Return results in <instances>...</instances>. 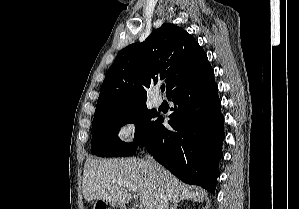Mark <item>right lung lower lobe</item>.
<instances>
[{
  "instance_id": "98d812e1",
  "label": "right lung lower lobe",
  "mask_w": 299,
  "mask_h": 209,
  "mask_svg": "<svg viewBox=\"0 0 299 209\" xmlns=\"http://www.w3.org/2000/svg\"><path fill=\"white\" fill-rule=\"evenodd\" d=\"M167 98L175 104L168 121L172 129L158 116L139 146L183 182L214 194L225 138L214 71L182 81Z\"/></svg>"
}]
</instances>
